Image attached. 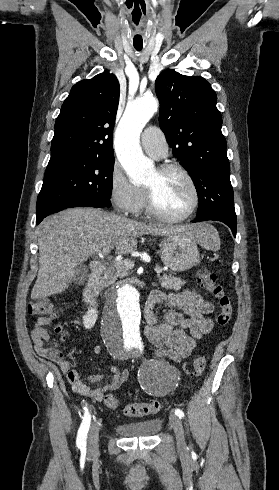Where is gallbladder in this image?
Returning <instances> with one entry per match:
<instances>
[{
	"label": "gallbladder",
	"mask_w": 279,
	"mask_h": 490,
	"mask_svg": "<svg viewBox=\"0 0 279 490\" xmlns=\"http://www.w3.org/2000/svg\"><path fill=\"white\" fill-rule=\"evenodd\" d=\"M88 276L89 270L87 266H77V270L71 282L72 284H79V286H82V284H86Z\"/></svg>",
	"instance_id": "1"
}]
</instances>
